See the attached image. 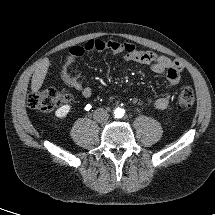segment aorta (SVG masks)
<instances>
[{"mask_svg": "<svg viewBox=\"0 0 215 215\" xmlns=\"http://www.w3.org/2000/svg\"><path fill=\"white\" fill-rule=\"evenodd\" d=\"M114 113H115V117L121 118L123 117L125 110L121 108H117Z\"/></svg>", "mask_w": 215, "mask_h": 215, "instance_id": "aorta-1", "label": "aorta"}]
</instances>
